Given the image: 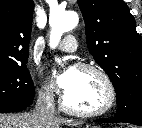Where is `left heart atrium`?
Listing matches in <instances>:
<instances>
[{"label": "left heart atrium", "mask_w": 142, "mask_h": 128, "mask_svg": "<svg viewBox=\"0 0 142 128\" xmlns=\"http://www.w3.org/2000/svg\"><path fill=\"white\" fill-rule=\"evenodd\" d=\"M53 76L56 85L64 92V94L73 87L76 81V71L72 68L62 71L55 70Z\"/></svg>", "instance_id": "1"}]
</instances>
